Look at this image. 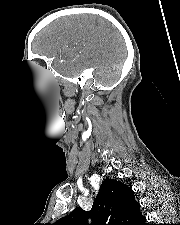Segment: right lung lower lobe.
<instances>
[{"label": "right lung lower lobe", "mask_w": 180, "mask_h": 225, "mask_svg": "<svg viewBox=\"0 0 180 225\" xmlns=\"http://www.w3.org/2000/svg\"><path fill=\"white\" fill-rule=\"evenodd\" d=\"M138 225H148V224H146V218L144 217L142 219V221L140 223H138Z\"/></svg>", "instance_id": "98d812e1"}]
</instances>
